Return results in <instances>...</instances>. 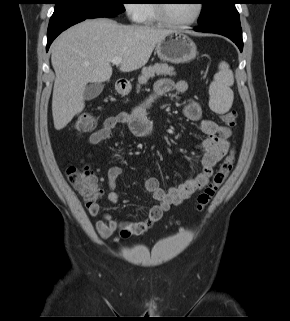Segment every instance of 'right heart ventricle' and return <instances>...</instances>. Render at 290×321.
Returning <instances> with one entry per match:
<instances>
[{
    "label": "right heart ventricle",
    "mask_w": 290,
    "mask_h": 321,
    "mask_svg": "<svg viewBox=\"0 0 290 321\" xmlns=\"http://www.w3.org/2000/svg\"><path fill=\"white\" fill-rule=\"evenodd\" d=\"M146 1L140 5L141 9V18L140 22L146 25H152L157 23L159 20L156 16L153 0H143Z\"/></svg>",
    "instance_id": "1"
}]
</instances>
